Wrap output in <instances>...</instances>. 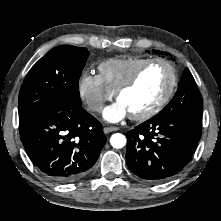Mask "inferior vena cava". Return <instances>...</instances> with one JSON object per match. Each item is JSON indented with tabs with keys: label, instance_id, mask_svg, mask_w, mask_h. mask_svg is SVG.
<instances>
[{
	"label": "inferior vena cava",
	"instance_id": "inferior-vena-cava-1",
	"mask_svg": "<svg viewBox=\"0 0 221 221\" xmlns=\"http://www.w3.org/2000/svg\"><path fill=\"white\" fill-rule=\"evenodd\" d=\"M104 107V104L102 102L94 103L90 106V109L92 111L101 112Z\"/></svg>",
	"mask_w": 221,
	"mask_h": 221
}]
</instances>
